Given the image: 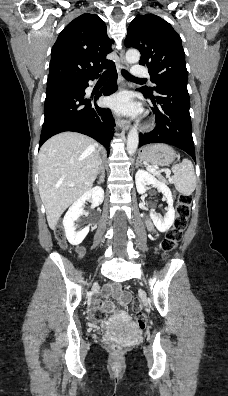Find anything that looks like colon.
<instances>
[{
  "instance_id": "obj_1",
  "label": "colon",
  "mask_w": 228,
  "mask_h": 396,
  "mask_svg": "<svg viewBox=\"0 0 228 396\" xmlns=\"http://www.w3.org/2000/svg\"><path fill=\"white\" fill-rule=\"evenodd\" d=\"M191 203L192 197L190 195L182 194L179 196L176 208V218L174 220L173 227L167 232L166 237L162 242V247L166 252L165 259H168V254L177 247L178 243L182 238L183 231L188 225ZM55 235L57 239L62 240V229H56ZM132 308L136 313V322L138 326L140 328H144L146 325V317L142 312V304L139 301H134L132 304ZM95 317L98 320H102L104 317V312L100 308H97L95 310ZM110 349L115 353H119L122 350L120 344L117 342H111Z\"/></svg>"
}]
</instances>
